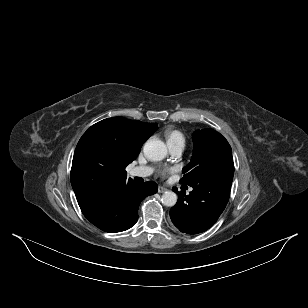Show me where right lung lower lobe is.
<instances>
[{
	"instance_id": "1",
	"label": "right lung lower lobe",
	"mask_w": 308,
	"mask_h": 308,
	"mask_svg": "<svg viewBox=\"0 0 308 308\" xmlns=\"http://www.w3.org/2000/svg\"><path fill=\"white\" fill-rule=\"evenodd\" d=\"M154 182H130L108 195L81 208L84 216L99 229L116 233L131 228L138 219L140 202L157 192Z\"/></svg>"
}]
</instances>
